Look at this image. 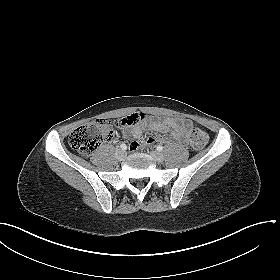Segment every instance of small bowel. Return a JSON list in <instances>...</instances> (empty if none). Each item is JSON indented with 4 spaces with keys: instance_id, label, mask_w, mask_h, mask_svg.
Returning a JSON list of instances; mask_svg holds the SVG:
<instances>
[{
    "instance_id": "small-bowel-1",
    "label": "small bowel",
    "mask_w": 280,
    "mask_h": 280,
    "mask_svg": "<svg viewBox=\"0 0 280 280\" xmlns=\"http://www.w3.org/2000/svg\"><path fill=\"white\" fill-rule=\"evenodd\" d=\"M192 126L193 123L189 119L178 117H168L164 119L144 117L142 121L134 125L131 129H124L122 135L138 139L143 135V129L149 128L159 132L169 131L176 139H182ZM155 142L156 138L149 136L142 146H152Z\"/></svg>"
}]
</instances>
